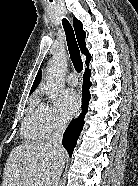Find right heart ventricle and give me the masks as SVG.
<instances>
[{
	"mask_svg": "<svg viewBox=\"0 0 138 186\" xmlns=\"http://www.w3.org/2000/svg\"><path fill=\"white\" fill-rule=\"evenodd\" d=\"M46 105L35 94L29 104L26 116L22 124V135L28 141H40L46 139L49 134L44 125V112Z\"/></svg>",
	"mask_w": 138,
	"mask_h": 186,
	"instance_id": "e07e8e85",
	"label": "right heart ventricle"
}]
</instances>
